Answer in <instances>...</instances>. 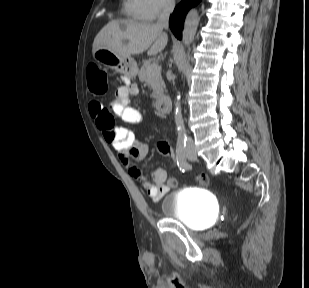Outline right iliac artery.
<instances>
[{"instance_id":"82829eb1","label":"right iliac artery","mask_w":309,"mask_h":288,"mask_svg":"<svg viewBox=\"0 0 309 288\" xmlns=\"http://www.w3.org/2000/svg\"><path fill=\"white\" fill-rule=\"evenodd\" d=\"M185 148H186V139H179L177 141V147H176V157H177V163L179 166L180 171H188V170H194L191 165L188 164L186 157H185Z\"/></svg>"}]
</instances>
